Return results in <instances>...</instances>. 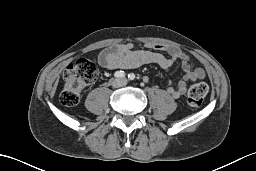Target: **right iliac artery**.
<instances>
[{
	"label": "right iliac artery",
	"mask_w": 256,
	"mask_h": 171,
	"mask_svg": "<svg viewBox=\"0 0 256 171\" xmlns=\"http://www.w3.org/2000/svg\"><path fill=\"white\" fill-rule=\"evenodd\" d=\"M125 72L124 71H116L114 76L117 78H124L125 77Z\"/></svg>",
	"instance_id": "1"
}]
</instances>
